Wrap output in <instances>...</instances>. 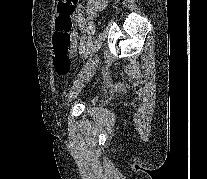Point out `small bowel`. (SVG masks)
Wrapping results in <instances>:
<instances>
[{
    "label": "small bowel",
    "mask_w": 207,
    "mask_h": 179,
    "mask_svg": "<svg viewBox=\"0 0 207 179\" xmlns=\"http://www.w3.org/2000/svg\"><path fill=\"white\" fill-rule=\"evenodd\" d=\"M106 3L107 0H87L86 13L88 16L93 17L98 11L105 7ZM74 20L80 30H84L86 28L87 18L85 17L82 6L77 8V11L74 15ZM78 47L77 34H74V42L71 46L72 54L76 53Z\"/></svg>",
    "instance_id": "c3829d8e"
}]
</instances>
